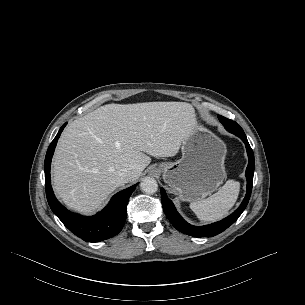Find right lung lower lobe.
Returning a JSON list of instances; mask_svg holds the SVG:
<instances>
[{"mask_svg": "<svg viewBox=\"0 0 305 305\" xmlns=\"http://www.w3.org/2000/svg\"><path fill=\"white\" fill-rule=\"evenodd\" d=\"M65 126L66 123L60 128L56 137L51 142L45 157L44 171L48 204L53 213L63 222V224L84 241L99 242L111 238L118 234L123 228L127 216L129 197L135 190L137 184L115 194L109 204L94 216L84 217L69 212L56 199L50 180L51 159L58 138Z\"/></svg>", "mask_w": 305, "mask_h": 305, "instance_id": "98d812e1", "label": "right lung lower lobe"}]
</instances>
